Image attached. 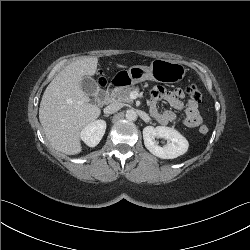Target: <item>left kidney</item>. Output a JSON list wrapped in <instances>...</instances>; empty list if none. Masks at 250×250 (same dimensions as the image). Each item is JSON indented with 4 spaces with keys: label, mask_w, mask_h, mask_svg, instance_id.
<instances>
[{
    "label": "left kidney",
    "mask_w": 250,
    "mask_h": 250,
    "mask_svg": "<svg viewBox=\"0 0 250 250\" xmlns=\"http://www.w3.org/2000/svg\"><path fill=\"white\" fill-rule=\"evenodd\" d=\"M157 138L167 140V144L160 146ZM145 147L161 159H174L188 150V141L177 130L165 126H147L143 129Z\"/></svg>",
    "instance_id": "1"
}]
</instances>
